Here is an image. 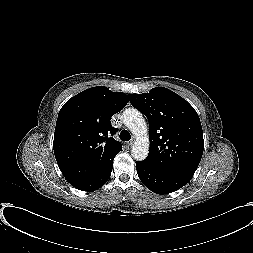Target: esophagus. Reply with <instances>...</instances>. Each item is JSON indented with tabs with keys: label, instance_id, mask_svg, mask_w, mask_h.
Returning a JSON list of instances; mask_svg holds the SVG:
<instances>
[{
	"label": "esophagus",
	"instance_id": "1",
	"mask_svg": "<svg viewBox=\"0 0 253 253\" xmlns=\"http://www.w3.org/2000/svg\"><path fill=\"white\" fill-rule=\"evenodd\" d=\"M133 143H134L133 140H132V141H129V142L127 143V146H128V147H131V146L133 145Z\"/></svg>",
	"mask_w": 253,
	"mask_h": 253
}]
</instances>
